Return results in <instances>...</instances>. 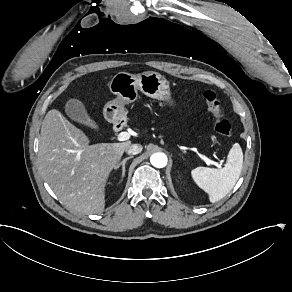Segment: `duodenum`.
<instances>
[{
	"mask_svg": "<svg viewBox=\"0 0 292 292\" xmlns=\"http://www.w3.org/2000/svg\"><path fill=\"white\" fill-rule=\"evenodd\" d=\"M115 130H116V131H119V127H117Z\"/></svg>",
	"mask_w": 292,
	"mask_h": 292,
	"instance_id": "obj_1",
	"label": "duodenum"
}]
</instances>
